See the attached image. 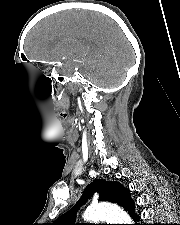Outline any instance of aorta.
<instances>
[{
  "instance_id": "aorta-1",
  "label": "aorta",
  "mask_w": 180,
  "mask_h": 225,
  "mask_svg": "<svg viewBox=\"0 0 180 225\" xmlns=\"http://www.w3.org/2000/svg\"><path fill=\"white\" fill-rule=\"evenodd\" d=\"M85 220L92 222L106 221L107 224H132L129 215L113 204H96L89 206L84 215Z\"/></svg>"
}]
</instances>
